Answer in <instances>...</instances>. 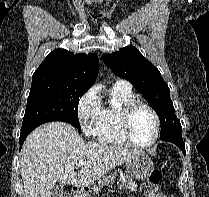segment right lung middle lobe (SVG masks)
<instances>
[{"label": "right lung middle lobe", "instance_id": "dd1d6c3e", "mask_svg": "<svg viewBox=\"0 0 209 197\" xmlns=\"http://www.w3.org/2000/svg\"><path fill=\"white\" fill-rule=\"evenodd\" d=\"M88 89L75 83L32 82L22 130L51 121H63L80 128L79 98Z\"/></svg>", "mask_w": 209, "mask_h": 197}]
</instances>
